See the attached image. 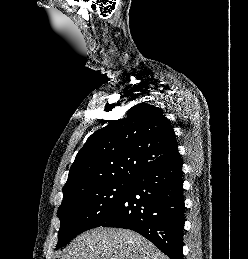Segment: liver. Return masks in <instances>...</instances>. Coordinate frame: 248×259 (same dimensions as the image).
<instances>
[{"instance_id": "6515ba94", "label": "liver", "mask_w": 248, "mask_h": 259, "mask_svg": "<svg viewBox=\"0 0 248 259\" xmlns=\"http://www.w3.org/2000/svg\"><path fill=\"white\" fill-rule=\"evenodd\" d=\"M60 259H169L140 234L95 228L73 240Z\"/></svg>"}]
</instances>
